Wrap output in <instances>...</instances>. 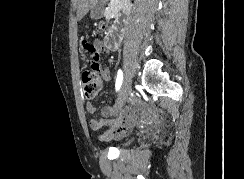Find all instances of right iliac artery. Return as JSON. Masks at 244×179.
<instances>
[{"label": "right iliac artery", "mask_w": 244, "mask_h": 179, "mask_svg": "<svg viewBox=\"0 0 244 179\" xmlns=\"http://www.w3.org/2000/svg\"><path fill=\"white\" fill-rule=\"evenodd\" d=\"M123 81V73L121 70H118L117 78H116V91H118L122 85Z\"/></svg>", "instance_id": "right-iliac-artery-1"}]
</instances>
